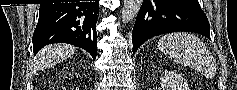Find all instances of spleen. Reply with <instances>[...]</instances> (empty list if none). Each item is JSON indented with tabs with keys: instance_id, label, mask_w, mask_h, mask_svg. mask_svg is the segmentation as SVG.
<instances>
[{
	"instance_id": "spleen-1",
	"label": "spleen",
	"mask_w": 237,
	"mask_h": 90,
	"mask_svg": "<svg viewBox=\"0 0 237 90\" xmlns=\"http://www.w3.org/2000/svg\"><path fill=\"white\" fill-rule=\"evenodd\" d=\"M157 48L173 62H183L204 76H206L210 64L213 62L205 44L194 34H186V32L166 34L157 42Z\"/></svg>"
}]
</instances>
